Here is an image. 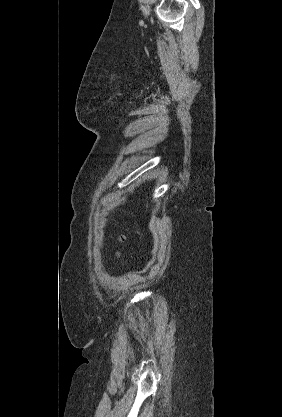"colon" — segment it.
<instances>
[{
    "label": "colon",
    "mask_w": 282,
    "mask_h": 417,
    "mask_svg": "<svg viewBox=\"0 0 282 417\" xmlns=\"http://www.w3.org/2000/svg\"><path fill=\"white\" fill-rule=\"evenodd\" d=\"M118 241H119V242H123V239H122V238H120Z\"/></svg>",
    "instance_id": "1"
}]
</instances>
